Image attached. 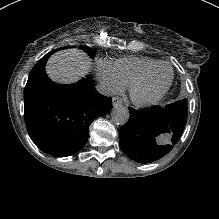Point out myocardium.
<instances>
[{"label": "myocardium", "instance_id": "1", "mask_svg": "<svg viewBox=\"0 0 219 219\" xmlns=\"http://www.w3.org/2000/svg\"><path fill=\"white\" fill-rule=\"evenodd\" d=\"M159 67H167L170 70V79L167 86L155 97L151 99H141L136 95V90L147 80V78ZM174 80V73L172 67L164 62H159L158 64L147 69L139 78H137L129 87V98L131 102L139 108H149L160 103L167 92L169 91Z\"/></svg>", "mask_w": 219, "mask_h": 219}]
</instances>
